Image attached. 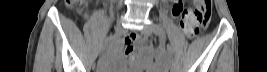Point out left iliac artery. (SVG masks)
I'll return each instance as SVG.
<instances>
[{
  "label": "left iliac artery",
  "mask_w": 267,
  "mask_h": 72,
  "mask_svg": "<svg viewBox=\"0 0 267 72\" xmlns=\"http://www.w3.org/2000/svg\"><path fill=\"white\" fill-rule=\"evenodd\" d=\"M154 32H155L159 37L164 38V31H163V29H162V27H161L160 25H158V24H155V25H154ZM164 53H165V55H166V58H167L168 63H169L170 65H173L174 60H173V57H172V55H171V53H170V49H169V46H168V45L166 46V49H165V47H164Z\"/></svg>",
  "instance_id": "44dca946"
}]
</instances>
